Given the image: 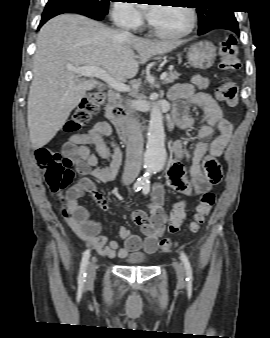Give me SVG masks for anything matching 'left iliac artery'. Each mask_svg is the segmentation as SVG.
<instances>
[{
    "instance_id": "left-iliac-artery-1",
    "label": "left iliac artery",
    "mask_w": 270,
    "mask_h": 338,
    "mask_svg": "<svg viewBox=\"0 0 270 338\" xmlns=\"http://www.w3.org/2000/svg\"><path fill=\"white\" fill-rule=\"evenodd\" d=\"M149 191H150V182H146L144 183L142 187V192L143 194L146 195L149 193ZM180 259L182 260L184 267H185V271L187 275L186 280H191L192 279V268H191L187 255L183 251L180 252Z\"/></svg>"
}]
</instances>
